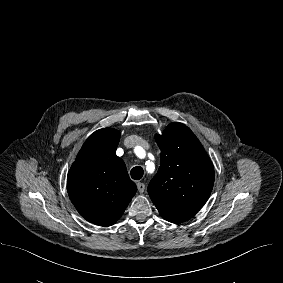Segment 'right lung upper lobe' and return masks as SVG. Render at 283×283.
<instances>
[{
	"label": "right lung upper lobe",
	"mask_w": 283,
	"mask_h": 283,
	"mask_svg": "<svg viewBox=\"0 0 283 283\" xmlns=\"http://www.w3.org/2000/svg\"><path fill=\"white\" fill-rule=\"evenodd\" d=\"M120 132L103 128L83 144L67 177V191L77 211L99 226L113 225L136 193L125 163L116 156Z\"/></svg>",
	"instance_id": "cb5924a9"
}]
</instances>
